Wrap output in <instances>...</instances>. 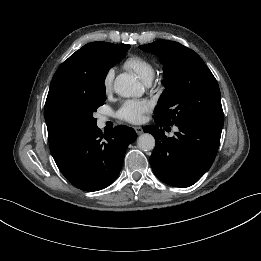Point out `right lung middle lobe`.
I'll return each instance as SVG.
<instances>
[{
	"instance_id": "dd1d6c3e",
	"label": "right lung middle lobe",
	"mask_w": 261,
	"mask_h": 261,
	"mask_svg": "<svg viewBox=\"0 0 261 261\" xmlns=\"http://www.w3.org/2000/svg\"><path fill=\"white\" fill-rule=\"evenodd\" d=\"M130 48L120 44L115 51L102 57L95 69L96 85L94 90L82 97L66 100L54 110L51 123L52 142L55 149H66L80 137L97 127L93 113L104 104L106 90L105 77L111 67L120 62Z\"/></svg>"
}]
</instances>
